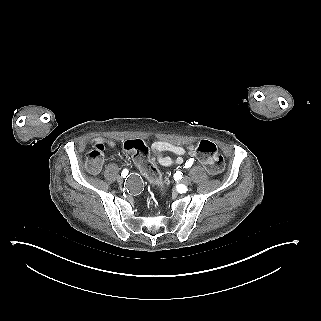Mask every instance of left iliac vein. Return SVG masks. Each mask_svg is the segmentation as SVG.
Returning <instances> with one entry per match:
<instances>
[{"label": "left iliac vein", "mask_w": 321, "mask_h": 321, "mask_svg": "<svg viewBox=\"0 0 321 321\" xmlns=\"http://www.w3.org/2000/svg\"><path fill=\"white\" fill-rule=\"evenodd\" d=\"M181 183H182L183 185H189V184H191V178H190L189 176H184V177L182 178V180H181Z\"/></svg>", "instance_id": "obj_1"}]
</instances>
